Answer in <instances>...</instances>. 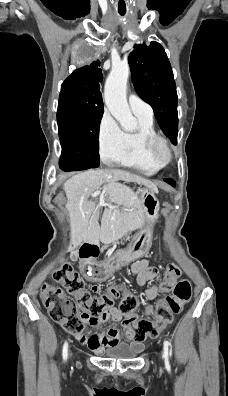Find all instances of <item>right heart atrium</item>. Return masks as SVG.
Here are the masks:
<instances>
[{
  "mask_svg": "<svg viewBox=\"0 0 228 396\" xmlns=\"http://www.w3.org/2000/svg\"><path fill=\"white\" fill-rule=\"evenodd\" d=\"M98 144L104 161L112 162L124 145V132L117 121L105 110L98 124Z\"/></svg>",
  "mask_w": 228,
  "mask_h": 396,
  "instance_id": "1",
  "label": "right heart atrium"
}]
</instances>
